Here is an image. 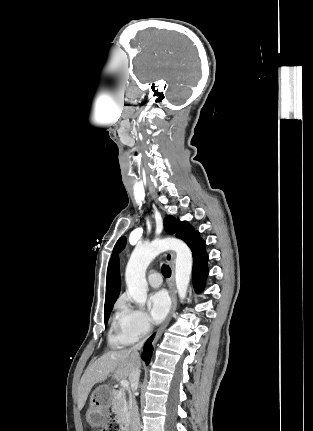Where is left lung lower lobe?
<instances>
[{
	"instance_id": "0a47b994",
	"label": "left lung lower lobe",
	"mask_w": 313,
	"mask_h": 431,
	"mask_svg": "<svg viewBox=\"0 0 313 431\" xmlns=\"http://www.w3.org/2000/svg\"><path fill=\"white\" fill-rule=\"evenodd\" d=\"M205 241L200 237L199 232L194 239L188 244L193 255V285L197 292L204 287L205 278L208 275L207 261L208 256L205 251Z\"/></svg>"
}]
</instances>
